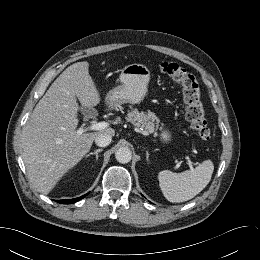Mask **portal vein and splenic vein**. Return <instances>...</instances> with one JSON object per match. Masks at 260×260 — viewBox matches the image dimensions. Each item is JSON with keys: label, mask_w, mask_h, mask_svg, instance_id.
Masks as SVG:
<instances>
[{"label": "portal vein and splenic vein", "mask_w": 260, "mask_h": 260, "mask_svg": "<svg viewBox=\"0 0 260 260\" xmlns=\"http://www.w3.org/2000/svg\"><path fill=\"white\" fill-rule=\"evenodd\" d=\"M108 123L107 122H95V123H93V124H91L90 126H88V127H86V128H79L78 130H77V133L78 134H82V133H84V132H86V131H98V130H103V129H105V128H107L108 127ZM189 163V167L191 168V169H193V163L189 160L188 161Z\"/></svg>", "instance_id": "1"}]
</instances>
